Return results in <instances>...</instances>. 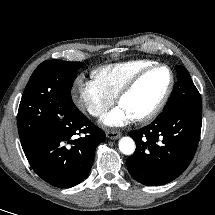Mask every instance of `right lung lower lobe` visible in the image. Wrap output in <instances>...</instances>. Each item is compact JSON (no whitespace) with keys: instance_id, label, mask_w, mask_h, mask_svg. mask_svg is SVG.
<instances>
[{"instance_id":"98d812e1","label":"right lung lower lobe","mask_w":215,"mask_h":215,"mask_svg":"<svg viewBox=\"0 0 215 215\" xmlns=\"http://www.w3.org/2000/svg\"><path fill=\"white\" fill-rule=\"evenodd\" d=\"M81 133L85 136L73 140L74 135ZM104 140L105 133L78 110L22 143V148L43 180L55 187L69 188L87 177L96 147Z\"/></svg>"}]
</instances>
